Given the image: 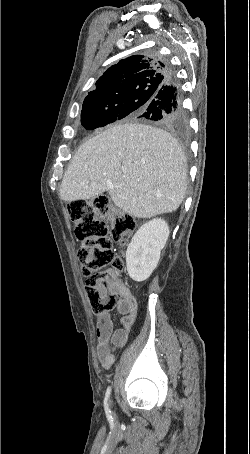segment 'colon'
I'll return each mask as SVG.
<instances>
[{
  "mask_svg": "<svg viewBox=\"0 0 250 454\" xmlns=\"http://www.w3.org/2000/svg\"><path fill=\"white\" fill-rule=\"evenodd\" d=\"M67 211L75 224L78 260L86 278L90 306L95 313L108 312L119 301V275L124 268V262L115 255L112 244H124L135 229V221L114 208L106 195L71 201Z\"/></svg>",
  "mask_w": 250,
  "mask_h": 454,
  "instance_id": "1",
  "label": "colon"
}]
</instances>
